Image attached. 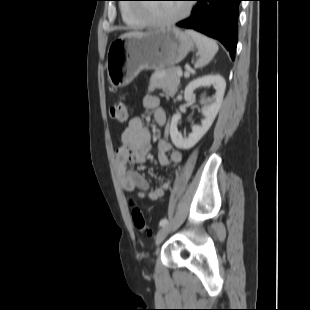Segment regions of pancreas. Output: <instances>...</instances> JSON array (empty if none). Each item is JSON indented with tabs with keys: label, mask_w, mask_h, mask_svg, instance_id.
<instances>
[{
	"label": "pancreas",
	"mask_w": 310,
	"mask_h": 310,
	"mask_svg": "<svg viewBox=\"0 0 310 310\" xmlns=\"http://www.w3.org/2000/svg\"><path fill=\"white\" fill-rule=\"evenodd\" d=\"M179 67H171L156 71L150 78L148 91L156 88L162 89L166 97H174L180 84V77L177 75Z\"/></svg>",
	"instance_id": "1"
}]
</instances>
